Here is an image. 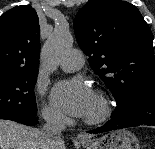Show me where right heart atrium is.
I'll return each mask as SVG.
<instances>
[{"label": "right heart atrium", "instance_id": "right-heart-atrium-1", "mask_svg": "<svg viewBox=\"0 0 155 149\" xmlns=\"http://www.w3.org/2000/svg\"><path fill=\"white\" fill-rule=\"evenodd\" d=\"M37 90L40 95H43L44 89L42 87H38ZM42 116L47 122L52 124H64L66 122V116L64 113L52 105H43Z\"/></svg>", "mask_w": 155, "mask_h": 149}]
</instances>
